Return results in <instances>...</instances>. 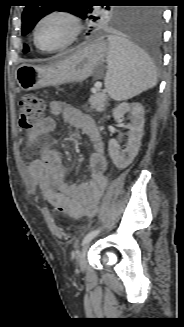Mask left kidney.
<instances>
[{
  "instance_id": "5707ae66",
  "label": "left kidney",
  "mask_w": 184,
  "mask_h": 327,
  "mask_svg": "<svg viewBox=\"0 0 184 327\" xmlns=\"http://www.w3.org/2000/svg\"><path fill=\"white\" fill-rule=\"evenodd\" d=\"M131 114V123L126 125L129 129V137L126 148L120 151L119 144L115 139L109 140V155L119 169H124L129 166L137 156L141 146L144 127V108L140 103L119 104L113 110V117L116 121H120L125 113Z\"/></svg>"
}]
</instances>
